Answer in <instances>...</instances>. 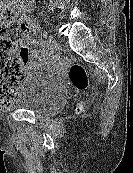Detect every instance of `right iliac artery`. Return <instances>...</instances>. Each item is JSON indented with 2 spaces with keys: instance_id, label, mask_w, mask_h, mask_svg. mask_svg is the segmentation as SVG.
I'll use <instances>...</instances> for the list:
<instances>
[{
  "instance_id": "1",
  "label": "right iliac artery",
  "mask_w": 133,
  "mask_h": 173,
  "mask_svg": "<svg viewBox=\"0 0 133 173\" xmlns=\"http://www.w3.org/2000/svg\"><path fill=\"white\" fill-rule=\"evenodd\" d=\"M48 44H49L48 41H43V47H44V48H47V47H48Z\"/></svg>"
}]
</instances>
